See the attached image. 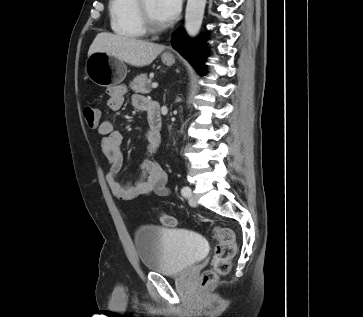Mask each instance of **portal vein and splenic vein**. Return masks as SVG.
<instances>
[{"mask_svg":"<svg viewBox=\"0 0 363 317\" xmlns=\"http://www.w3.org/2000/svg\"><path fill=\"white\" fill-rule=\"evenodd\" d=\"M151 87H152L153 89L157 88V87H158V83H152Z\"/></svg>","mask_w":363,"mask_h":317,"instance_id":"18ae733b","label":"portal vein and splenic vein"}]
</instances>
